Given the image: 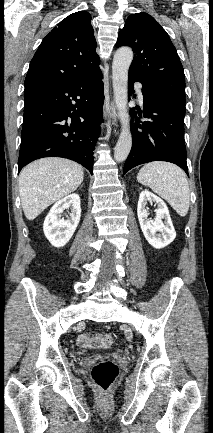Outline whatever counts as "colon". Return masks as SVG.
Masks as SVG:
<instances>
[{"instance_id": "obj_1", "label": "colon", "mask_w": 213, "mask_h": 433, "mask_svg": "<svg viewBox=\"0 0 213 433\" xmlns=\"http://www.w3.org/2000/svg\"><path fill=\"white\" fill-rule=\"evenodd\" d=\"M102 340L105 345H111L114 342L113 336L109 333L104 334ZM117 375L118 367L110 360L98 362L91 370V377L94 383L104 391L110 387Z\"/></svg>"}]
</instances>
